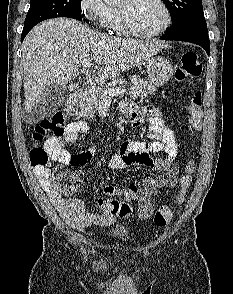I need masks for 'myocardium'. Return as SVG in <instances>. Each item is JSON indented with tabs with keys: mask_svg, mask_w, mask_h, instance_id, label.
<instances>
[{
	"mask_svg": "<svg viewBox=\"0 0 233 294\" xmlns=\"http://www.w3.org/2000/svg\"><path fill=\"white\" fill-rule=\"evenodd\" d=\"M156 2L162 7L165 13V22L159 29L153 32H141L135 29L131 23L128 11L126 9L120 8L119 11L121 16V22L126 34L138 38H153L163 34L170 27L172 22V15L168 5L164 0H156Z\"/></svg>",
	"mask_w": 233,
	"mask_h": 294,
	"instance_id": "f54148a6",
	"label": "myocardium"
}]
</instances>
